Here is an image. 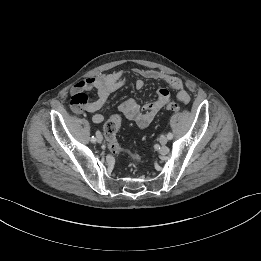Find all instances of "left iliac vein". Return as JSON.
<instances>
[{
  "label": "left iliac vein",
  "mask_w": 261,
  "mask_h": 261,
  "mask_svg": "<svg viewBox=\"0 0 261 261\" xmlns=\"http://www.w3.org/2000/svg\"><path fill=\"white\" fill-rule=\"evenodd\" d=\"M159 142L161 145H165L168 142V138L165 135H161L159 138Z\"/></svg>",
  "instance_id": "left-iliac-vein-1"
}]
</instances>
